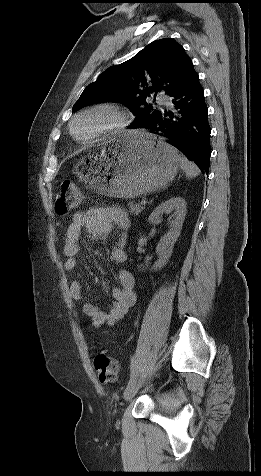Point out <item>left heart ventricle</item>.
I'll list each match as a JSON object with an SVG mask.
<instances>
[{
  "label": "left heart ventricle",
  "mask_w": 261,
  "mask_h": 476,
  "mask_svg": "<svg viewBox=\"0 0 261 476\" xmlns=\"http://www.w3.org/2000/svg\"><path fill=\"white\" fill-rule=\"evenodd\" d=\"M112 115L106 112L94 113L80 118L74 124L78 138L86 139L112 122Z\"/></svg>",
  "instance_id": "obj_1"
}]
</instances>
